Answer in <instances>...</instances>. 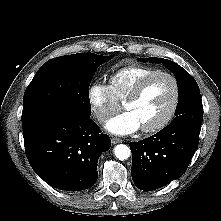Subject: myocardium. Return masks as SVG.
Returning <instances> with one entry per match:
<instances>
[{
	"mask_svg": "<svg viewBox=\"0 0 221 221\" xmlns=\"http://www.w3.org/2000/svg\"><path fill=\"white\" fill-rule=\"evenodd\" d=\"M157 76H165L171 80V82L173 84V99H172V103H171L169 110L167 111L165 116L160 121H158L157 123H155L151 126L141 127V130L144 133L157 132V131L163 129L164 127H166L170 123V121L173 119V117L177 111L179 101H180V84H179L178 79L170 72L157 70V71H154V72L146 75L145 77H143L135 85V87L132 89V91L128 94V96L124 100V103H123L124 108L127 103H130V102L138 99L141 96V94L143 93L147 84L153 78H155Z\"/></svg>",
	"mask_w": 221,
	"mask_h": 221,
	"instance_id": "1",
	"label": "myocardium"
}]
</instances>
